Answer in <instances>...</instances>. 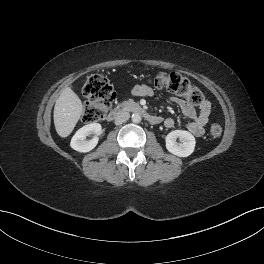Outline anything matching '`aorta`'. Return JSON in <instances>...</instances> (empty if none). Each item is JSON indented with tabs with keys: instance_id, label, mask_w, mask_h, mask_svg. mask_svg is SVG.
I'll use <instances>...</instances> for the list:
<instances>
[{
	"instance_id": "762f6f07",
	"label": "aorta",
	"mask_w": 264,
	"mask_h": 264,
	"mask_svg": "<svg viewBox=\"0 0 264 264\" xmlns=\"http://www.w3.org/2000/svg\"><path fill=\"white\" fill-rule=\"evenodd\" d=\"M132 121H133L134 123H140V122H141V116H140V114H138V113H134V114L132 115Z\"/></svg>"
}]
</instances>
